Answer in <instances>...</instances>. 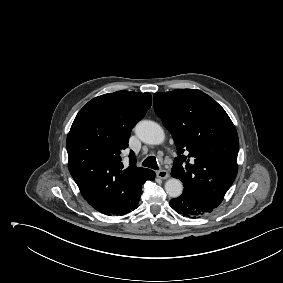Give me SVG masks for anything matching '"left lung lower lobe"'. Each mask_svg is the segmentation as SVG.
I'll list each match as a JSON object with an SVG mask.
<instances>
[{"instance_id": "left-lung-lower-lobe-1", "label": "left lung lower lobe", "mask_w": 283, "mask_h": 283, "mask_svg": "<svg viewBox=\"0 0 283 283\" xmlns=\"http://www.w3.org/2000/svg\"><path fill=\"white\" fill-rule=\"evenodd\" d=\"M170 206L184 217H198L211 213L216 206L195 192L184 190L178 198L170 201Z\"/></svg>"}]
</instances>
